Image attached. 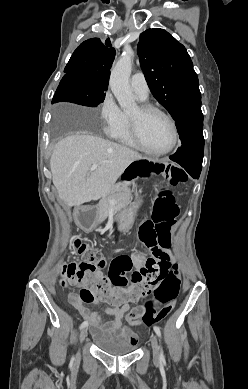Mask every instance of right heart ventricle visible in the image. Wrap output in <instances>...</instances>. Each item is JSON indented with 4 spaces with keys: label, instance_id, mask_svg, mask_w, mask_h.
<instances>
[{
    "label": "right heart ventricle",
    "instance_id": "obj_1",
    "mask_svg": "<svg viewBox=\"0 0 248 389\" xmlns=\"http://www.w3.org/2000/svg\"><path fill=\"white\" fill-rule=\"evenodd\" d=\"M112 137L126 146L139 149V146L131 135L129 114L127 113H123L121 126Z\"/></svg>",
    "mask_w": 248,
    "mask_h": 389
}]
</instances>
